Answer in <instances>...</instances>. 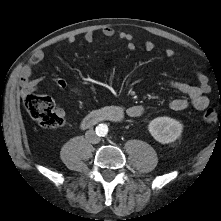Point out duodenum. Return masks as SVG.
Instances as JSON below:
<instances>
[{
	"label": "duodenum",
	"instance_id": "1",
	"mask_svg": "<svg viewBox=\"0 0 221 221\" xmlns=\"http://www.w3.org/2000/svg\"><path fill=\"white\" fill-rule=\"evenodd\" d=\"M123 119V112L113 106L104 107L90 112L82 121V128L92 127L102 121L120 122Z\"/></svg>",
	"mask_w": 221,
	"mask_h": 221
}]
</instances>
